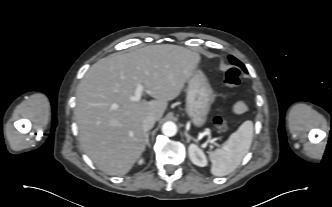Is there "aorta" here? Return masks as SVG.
I'll use <instances>...</instances> for the list:
<instances>
[{"label":"aorta","mask_w":332,"mask_h":207,"mask_svg":"<svg viewBox=\"0 0 332 207\" xmlns=\"http://www.w3.org/2000/svg\"><path fill=\"white\" fill-rule=\"evenodd\" d=\"M162 133L166 136H174L177 133V126L174 122H165L162 126Z\"/></svg>","instance_id":"1"}]
</instances>
